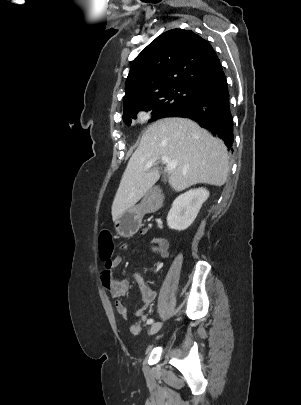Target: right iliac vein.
<instances>
[{
	"instance_id": "63e3f726",
	"label": "right iliac vein",
	"mask_w": 301,
	"mask_h": 405,
	"mask_svg": "<svg viewBox=\"0 0 301 405\" xmlns=\"http://www.w3.org/2000/svg\"><path fill=\"white\" fill-rule=\"evenodd\" d=\"M161 327H162V324H161V323H154V324L150 327L149 334H150V335L156 334V333L161 329Z\"/></svg>"
}]
</instances>
